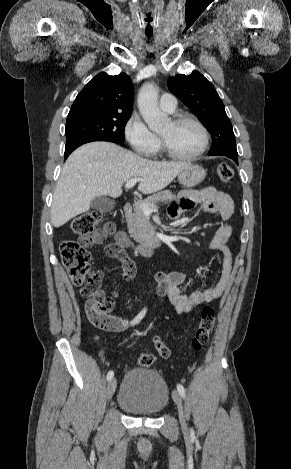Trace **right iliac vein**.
Instances as JSON below:
<instances>
[{
	"label": "right iliac vein",
	"instance_id": "obj_1",
	"mask_svg": "<svg viewBox=\"0 0 291 469\" xmlns=\"http://www.w3.org/2000/svg\"><path fill=\"white\" fill-rule=\"evenodd\" d=\"M116 386H117V381L115 378H112L108 385H107V390H106V397L108 400H110L116 390Z\"/></svg>",
	"mask_w": 291,
	"mask_h": 469
}]
</instances>
